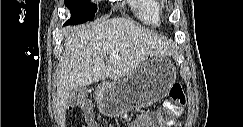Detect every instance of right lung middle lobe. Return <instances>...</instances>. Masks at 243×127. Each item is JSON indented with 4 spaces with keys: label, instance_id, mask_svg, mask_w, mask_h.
Returning a JSON list of instances; mask_svg holds the SVG:
<instances>
[{
    "label": "right lung middle lobe",
    "instance_id": "dd1d6c3e",
    "mask_svg": "<svg viewBox=\"0 0 243 127\" xmlns=\"http://www.w3.org/2000/svg\"><path fill=\"white\" fill-rule=\"evenodd\" d=\"M64 3L72 14L65 25L89 21L95 16L97 11V6L91 4L89 0H64Z\"/></svg>",
    "mask_w": 243,
    "mask_h": 127
}]
</instances>
